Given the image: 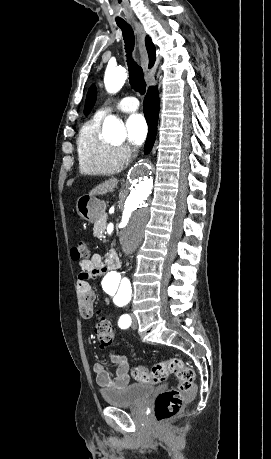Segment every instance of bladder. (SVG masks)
Returning <instances> with one entry per match:
<instances>
[{"mask_svg":"<svg viewBox=\"0 0 271 459\" xmlns=\"http://www.w3.org/2000/svg\"><path fill=\"white\" fill-rule=\"evenodd\" d=\"M155 390L152 384H130L123 390H103L104 402L110 405H142V402L149 398Z\"/></svg>","mask_w":271,"mask_h":459,"instance_id":"obj_1","label":"bladder"}]
</instances>
